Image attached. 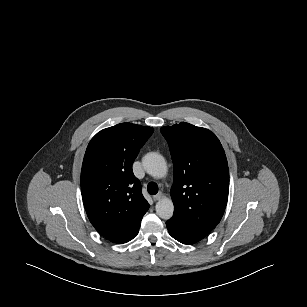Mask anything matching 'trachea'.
Here are the masks:
<instances>
[{
  "instance_id": "trachea-1",
  "label": "trachea",
  "mask_w": 307,
  "mask_h": 307,
  "mask_svg": "<svg viewBox=\"0 0 307 307\" xmlns=\"http://www.w3.org/2000/svg\"><path fill=\"white\" fill-rule=\"evenodd\" d=\"M147 190L151 195H155L158 192V185L154 182H151L148 184Z\"/></svg>"
}]
</instances>
